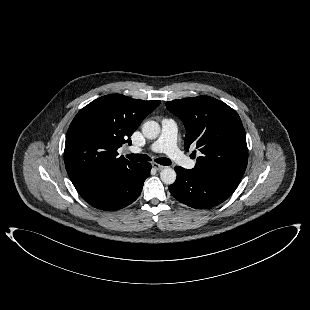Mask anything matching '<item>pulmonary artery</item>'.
Masks as SVG:
<instances>
[{
	"label": "pulmonary artery",
	"mask_w": 310,
	"mask_h": 310,
	"mask_svg": "<svg viewBox=\"0 0 310 310\" xmlns=\"http://www.w3.org/2000/svg\"><path fill=\"white\" fill-rule=\"evenodd\" d=\"M178 126L173 119H163L161 122V133L157 140L152 143L149 149L153 152H163L171 160L184 168L192 169L195 161L187 157L177 146ZM141 149L134 147L132 152L138 153Z\"/></svg>",
	"instance_id": "e3ab8cb5"
}]
</instances>
